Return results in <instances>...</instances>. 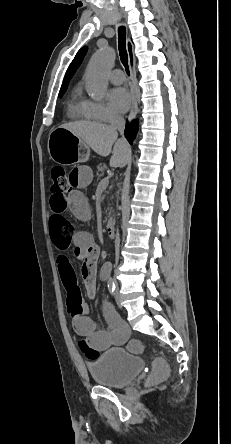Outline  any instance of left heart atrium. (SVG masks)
Wrapping results in <instances>:
<instances>
[{
    "label": "left heart atrium",
    "mask_w": 231,
    "mask_h": 444,
    "mask_svg": "<svg viewBox=\"0 0 231 444\" xmlns=\"http://www.w3.org/2000/svg\"><path fill=\"white\" fill-rule=\"evenodd\" d=\"M108 100L110 105L117 112H124L128 110L132 103V97L128 90L122 87L113 88L108 93Z\"/></svg>",
    "instance_id": "left-heart-atrium-1"
}]
</instances>
